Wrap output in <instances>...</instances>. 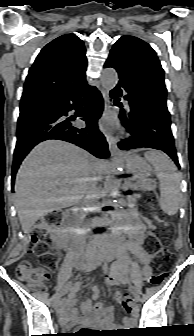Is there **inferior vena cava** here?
<instances>
[{
	"instance_id": "inferior-vena-cava-1",
	"label": "inferior vena cava",
	"mask_w": 194,
	"mask_h": 336,
	"mask_svg": "<svg viewBox=\"0 0 194 336\" xmlns=\"http://www.w3.org/2000/svg\"><path fill=\"white\" fill-rule=\"evenodd\" d=\"M97 168V162H90L88 170L93 176L88 180L84 199V203L90 207H95L98 204L99 191L97 189V181L100 177H98Z\"/></svg>"
}]
</instances>
